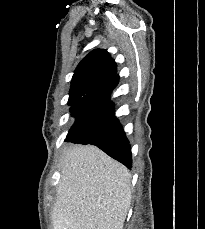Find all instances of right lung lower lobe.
I'll return each instance as SVG.
<instances>
[{
    "instance_id": "right-lung-lower-lobe-1",
    "label": "right lung lower lobe",
    "mask_w": 205,
    "mask_h": 229,
    "mask_svg": "<svg viewBox=\"0 0 205 229\" xmlns=\"http://www.w3.org/2000/svg\"><path fill=\"white\" fill-rule=\"evenodd\" d=\"M118 81L119 75H114L71 106V115L76 117V121L65 141L96 145L127 168H131L130 145L113 114L114 107L110 101L111 92Z\"/></svg>"
}]
</instances>
